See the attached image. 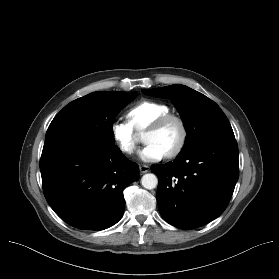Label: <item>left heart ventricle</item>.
Here are the masks:
<instances>
[{
  "label": "left heart ventricle",
  "instance_id": "1",
  "mask_svg": "<svg viewBox=\"0 0 279 279\" xmlns=\"http://www.w3.org/2000/svg\"><path fill=\"white\" fill-rule=\"evenodd\" d=\"M179 138L180 128L178 124L170 121L158 131H146L143 140L146 144H155L166 154L176 146Z\"/></svg>",
  "mask_w": 279,
  "mask_h": 279
}]
</instances>
